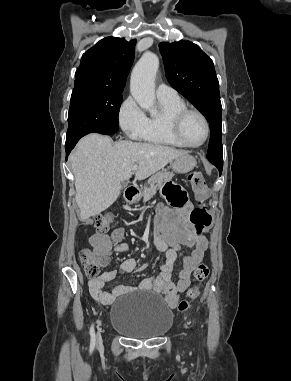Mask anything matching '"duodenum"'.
Listing matches in <instances>:
<instances>
[{
  "instance_id": "obj_1",
  "label": "duodenum",
  "mask_w": 291,
  "mask_h": 381,
  "mask_svg": "<svg viewBox=\"0 0 291 381\" xmlns=\"http://www.w3.org/2000/svg\"><path fill=\"white\" fill-rule=\"evenodd\" d=\"M139 195V190L136 187H128L125 190V200L128 203H134Z\"/></svg>"
}]
</instances>
